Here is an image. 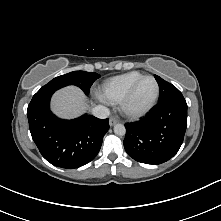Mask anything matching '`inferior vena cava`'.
Segmentation results:
<instances>
[{
  "label": "inferior vena cava",
  "mask_w": 221,
  "mask_h": 221,
  "mask_svg": "<svg viewBox=\"0 0 221 221\" xmlns=\"http://www.w3.org/2000/svg\"><path fill=\"white\" fill-rule=\"evenodd\" d=\"M109 114H110L109 109L102 105L96 106L92 109V115L100 119L107 118Z\"/></svg>",
  "instance_id": "1"
}]
</instances>
